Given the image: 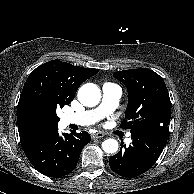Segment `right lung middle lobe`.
<instances>
[{
    "instance_id": "dd1d6c3e",
    "label": "right lung middle lobe",
    "mask_w": 194,
    "mask_h": 194,
    "mask_svg": "<svg viewBox=\"0 0 194 194\" xmlns=\"http://www.w3.org/2000/svg\"><path fill=\"white\" fill-rule=\"evenodd\" d=\"M69 103L65 100L59 98H48L47 106L49 108L50 113L54 116L56 122H59V118L56 115V109L59 107H64V105H68Z\"/></svg>"
}]
</instances>
